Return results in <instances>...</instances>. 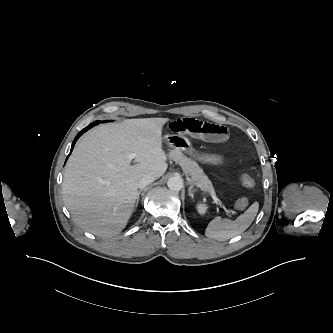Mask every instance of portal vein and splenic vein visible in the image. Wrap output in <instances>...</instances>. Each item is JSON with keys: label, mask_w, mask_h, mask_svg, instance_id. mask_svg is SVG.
<instances>
[{"label": "portal vein and splenic vein", "mask_w": 333, "mask_h": 333, "mask_svg": "<svg viewBox=\"0 0 333 333\" xmlns=\"http://www.w3.org/2000/svg\"><path fill=\"white\" fill-rule=\"evenodd\" d=\"M135 157H136L135 154H130V155L128 156L129 160H132V159H134ZM211 196H212V198L214 199V201H215L216 203H219V204L221 205V207L223 208V210L226 212V214H227L229 217H231V216L234 215V210L229 209V208H226L225 205L222 203V201H221L220 199H218L214 193H212Z\"/></svg>", "instance_id": "1"}]
</instances>
